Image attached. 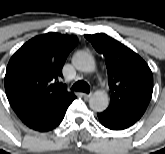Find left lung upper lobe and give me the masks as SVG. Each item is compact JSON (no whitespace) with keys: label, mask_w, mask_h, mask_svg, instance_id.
Masks as SVG:
<instances>
[{"label":"left lung upper lobe","mask_w":165,"mask_h":154,"mask_svg":"<svg viewBox=\"0 0 165 154\" xmlns=\"http://www.w3.org/2000/svg\"><path fill=\"white\" fill-rule=\"evenodd\" d=\"M105 57L111 101L105 113L138 121L153 92V75L146 62L131 49L106 34L85 35Z\"/></svg>","instance_id":"left-lung-upper-lobe-1"}]
</instances>
